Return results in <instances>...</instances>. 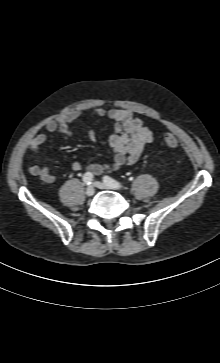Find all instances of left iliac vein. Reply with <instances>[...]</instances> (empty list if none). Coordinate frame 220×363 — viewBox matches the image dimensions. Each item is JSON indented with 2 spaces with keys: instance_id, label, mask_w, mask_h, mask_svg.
<instances>
[{
  "instance_id": "1",
  "label": "left iliac vein",
  "mask_w": 220,
  "mask_h": 363,
  "mask_svg": "<svg viewBox=\"0 0 220 363\" xmlns=\"http://www.w3.org/2000/svg\"><path fill=\"white\" fill-rule=\"evenodd\" d=\"M94 186L99 189H109V190H118L119 189V187H113V186H110L106 183L99 182V181H95Z\"/></svg>"
}]
</instances>
